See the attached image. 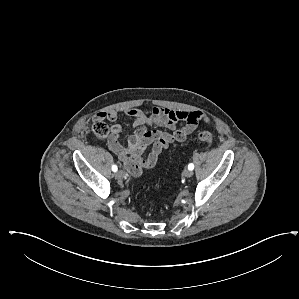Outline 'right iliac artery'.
<instances>
[{
  "instance_id": "right-iliac-artery-1",
  "label": "right iliac artery",
  "mask_w": 299,
  "mask_h": 299,
  "mask_svg": "<svg viewBox=\"0 0 299 299\" xmlns=\"http://www.w3.org/2000/svg\"><path fill=\"white\" fill-rule=\"evenodd\" d=\"M117 170H118L117 166H116V165H113V166H112V171H113V172H116Z\"/></svg>"
}]
</instances>
